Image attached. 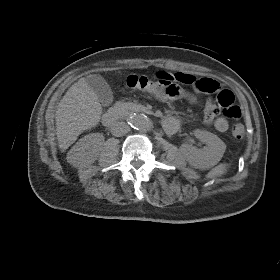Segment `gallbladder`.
Returning <instances> with one entry per match:
<instances>
[{
    "label": "gallbladder",
    "instance_id": "gallbladder-1",
    "mask_svg": "<svg viewBox=\"0 0 280 280\" xmlns=\"http://www.w3.org/2000/svg\"><path fill=\"white\" fill-rule=\"evenodd\" d=\"M86 82L94 90L102 105L107 106L113 101L111 88L102 76L91 75L86 78Z\"/></svg>",
    "mask_w": 280,
    "mask_h": 280
}]
</instances>
